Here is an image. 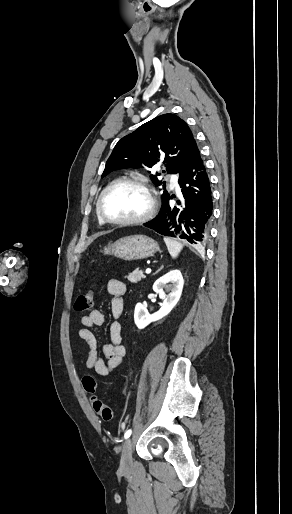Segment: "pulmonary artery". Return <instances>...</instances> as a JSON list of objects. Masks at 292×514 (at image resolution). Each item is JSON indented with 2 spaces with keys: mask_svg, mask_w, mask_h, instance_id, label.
Segmentation results:
<instances>
[{
  "mask_svg": "<svg viewBox=\"0 0 292 514\" xmlns=\"http://www.w3.org/2000/svg\"><path fill=\"white\" fill-rule=\"evenodd\" d=\"M170 182H171V185L173 187H176L177 186V178H176V176H171L170 177Z\"/></svg>",
  "mask_w": 292,
  "mask_h": 514,
  "instance_id": "obj_1",
  "label": "pulmonary artery"
}]
</instances>
